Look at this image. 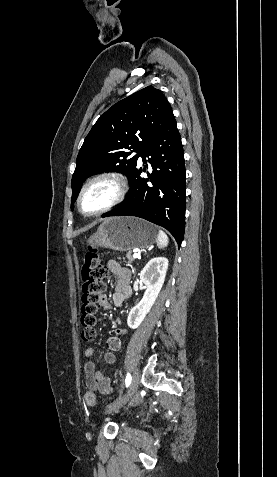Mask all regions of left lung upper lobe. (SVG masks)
<instances>
[{
    "label": "left lung upper lobe",
    "instance_id": "obj_1",
    "mask_svg": "<svg viewBox=\"0 0 277 477\" xmlns=\"http://www.w3.org/2000/svg\"><path fill=\"white\" fill-rule=\"evenodd\" d=\"M173 117L167 98L153 86L135 92L103 113L78 153L71 181V209L88 177L118 171L130 178L142 149ZM132 151L138 154L132 157Z\"/></svg>",
    "mask_w": 277,
    "mask_h": 477
}]
</instances>
